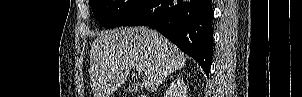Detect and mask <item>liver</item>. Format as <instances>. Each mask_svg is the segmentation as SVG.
I'll return each instance as SVG.
<instances>
[{
  "label": "liver",
  "mask_w": 302,
  "mask_h": 97,
  "mask_svg": "<svg viewBox=\"0 0 302 97\" xmlns=\"http://www.w3.org/2000/svg\"><path fill=\"white\" fill-rule=\"evenodd\" d=\"M139 64L144 65L142 84L153 92L169 73L186 65V57L168 39L146 27L99 33L90 50V86L94 97H109Z\"/></svg>",
  "instance_id": "6515ba94"
}]
</instances>
